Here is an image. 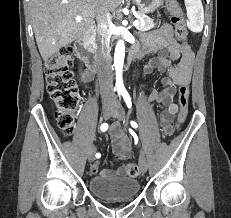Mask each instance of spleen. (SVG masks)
<instances>
[{"instance_id": "1", "label": "spleen", "mask_w": 231, "mask_h": 218, "mask_svg": "<svg viewBox=\"0 0 231 218\" xmlns=\"http://www.w3.org/2000/svg\"><path fill=\"white\" fill-rule=\"evenodd\" d=\"M187 14V27L195 33H199L204 25V10L201 0H184Z\"/></svg>"}]
</instances>
